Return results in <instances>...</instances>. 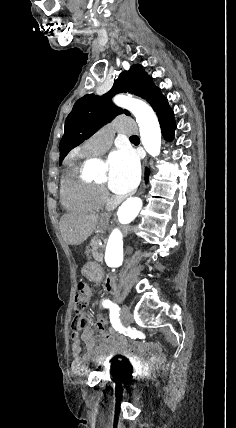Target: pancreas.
<instances>
[{"label": "pancreas", "mask_w": 236, "mask_h": 428, "mask_svg": "<svg viewBox=\"0 0 236 428\" xmlns=\"http://www.w3.org/2000/svg\"><path fill=\"white\" fill-rule=\"evenodd\" d=\"M99 242L100 240H97V238H94L90 246L92 248V256L94 260H96V262H103L102 248H104V246H99Z\"/></svg>", "instance_id": "obj_1"}]
</instances>
